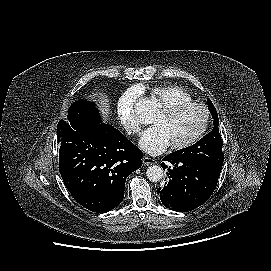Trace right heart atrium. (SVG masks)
Instances as JSON below:
<instances>
[{"instance_id": "1", "label": "right heart atrium", "mask_w": 271, "mask_h": 271, "mask_svg": "<svg viewBox=\"0 0 271 271\" xmlns=\"http://www.w3.org/2000/svg\"><path fill=\"white\" fill-rule=\"evenodd\" d=\"M141 90L138 87L127 89L117 103V114L121 125L130 135H139L141 123L135 115V105L140 98Z\"/></svg>"}]
</instances>
